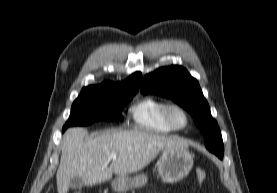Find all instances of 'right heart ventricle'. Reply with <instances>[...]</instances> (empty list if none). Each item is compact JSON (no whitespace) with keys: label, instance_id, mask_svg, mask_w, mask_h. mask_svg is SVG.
Here are the masks:
<instances>
[{"label":"right heart ventricle","instance_id":"e07e8e85","mask_svg":"<svg viewBox=\"0 0 277 193\" xmlns=\"http://www.w3.org/2000/svg\"><path fill=\"white\" fill-rule=\"evenodd\" d=\"M167 106V102L154 97H146L136 102L130 108L135 128L152 134L172 133L174 130L165 119Z\"/></svg>","mask_w":277,"mask_h":193}]
</instances>
